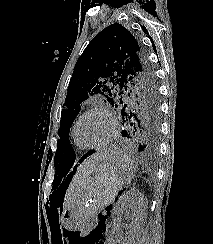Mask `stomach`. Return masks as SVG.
<instances>
[{"mask_svg":"<svg viewBox=\"0 0 213 244\" xmlns=\"http://www.w3.org/2000/svg\"><path fill=\"white\" fill-rule=\"evenodd\" d=\"M107 154L78 188L61 215L63 227L70 231L85 228L99 210L106 208L129 180V169L122 159L124 149H104Z\"/></svg>","mask_w":213,"mask_h":244,"instance_id":"0dacf381","label":"stomach"}]
</instances>
